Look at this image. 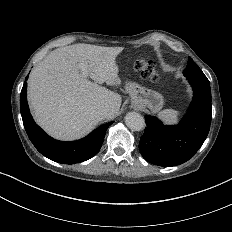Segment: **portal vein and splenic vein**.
<instances>
[{"mask_svg":"<svg viewBox=\"0 0 232 232\" xmlns=\"http://www.w3.org/2000/svg\"><path fill=\"white\" fill-rule=\"evenodd\" d=\"M79 67H80V70H81V75L84 77V78H87L89 73H88V64H85V63H79Z\"/></svg>","mask_w":232,"mask_h":232,"instance_id":"1","label":"portal vein and splenic vein"}]
</instances>
